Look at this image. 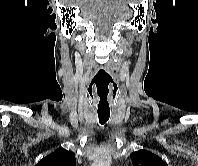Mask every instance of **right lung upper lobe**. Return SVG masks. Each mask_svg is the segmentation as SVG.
<instances>
[{
    "label": "right lung upper lobe",
    "mask_w": 198,
    "mask_h": 166,
    "mask_svg": "<svg viewBox=\"0 0 198 166\" xmlns=\"http://www.w3.org/2000/svg\"><path fill=\"white\" fill-rule=\"evenodd\" d=\"M36 166H76L75 153L59 148L41 159Z\"/></svg>",
    "instance_id": "cb5924a9"
}]
</instances>
